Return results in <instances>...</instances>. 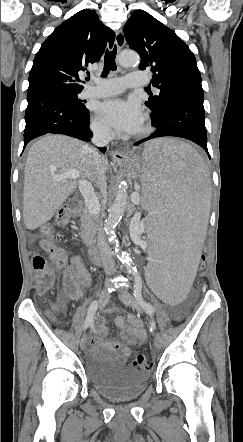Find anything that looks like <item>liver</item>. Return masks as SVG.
<instances>
[{
    "instance_id": "liver-1",
    "label": "liver",
    "mask_w": 243,
    "mask_h": 442,
    "mask_svg": "<svg viewBox=\"0 0 243 442\" xmlns=\"http://www.w3.org/2000/svg\"><path fill=\"white\" fill-rule=\"evenodd\" d=\"M88 144L64 135H46L30 148L24 171L23 219L34 230L48 222L81 180H96L93 154ZM104 173L108 160L102 157ZM77 170V179L56 180L55 175Z\"/></svg>"
}]
</instances>
